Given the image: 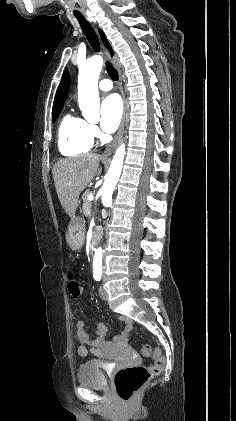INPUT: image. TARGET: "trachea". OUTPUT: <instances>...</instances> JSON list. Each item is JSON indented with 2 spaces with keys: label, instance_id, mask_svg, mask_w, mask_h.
<instances>
[{
  "label": "trachea",
  "instance_id": "1",
  "mask_svg": "<svg viewBox=\"0 0 236 421\" xmlns=\"http://www.w3.org/2000/svg\"><path fill=\"white\" fill-rule=\"evenodd\" d=\"M75 16L78 19L81 25L82 31L84 35L86 36L89 44L91 45V48L95 52L99 53L101 51L100 42L93 27L90 25V23L87 22V20L82 15H75ZM106 70L109 77L112 78V80H115V81L118 80L117 70H115L113 65L108 60L106 61Z\"/></svg>",
  "mask_w": 236,
  "mask_h": 421
}]
</instances>
